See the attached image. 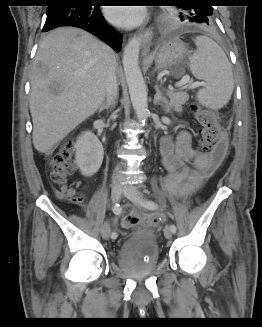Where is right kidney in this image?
Here are the masks:
<instances>
[{
	"instance_id": "right-kidney-1",
	"label": "right kidney",
	"mask_w": 262,
	"mask_h": 327,
	"mask_svg": "<svg viewBox=\"0 0 262 327\" xmlns=\"http://www.w3.org/2000/svg\"><path fill=\"white\" fill-rule=\"evenodd\" d=\"M76 163L84 176L95 174L102 162L104 150L99 139L90 131L84 132L75 143Z\"/></svg>"
}]
</instances>
